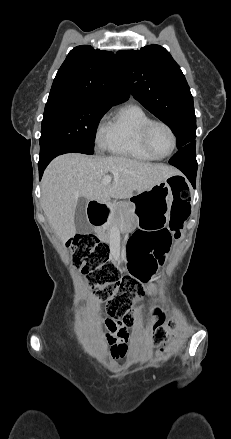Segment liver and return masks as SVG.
Masks as SVG:
<instances>
[{"label": "liver", "instance_id": "obj_1", "mask_svg": "<svg viewBox=\"0 0 231 439\" xmlns=\"http://www.w3.org/2000/svg\"><path fill=\"white\" fill-rule=\"evenodd\" d=\"M108 173L113 174V182L101 184ZM177 174L179 171L169 165L126 157L65 154L55 158L44 172L42 207L56 234L66 241L76 233L74 215L80 197L100 202L126 199Z\"/></svg>", "mask_w": 231, "mask_h": 439}]
</instances>
